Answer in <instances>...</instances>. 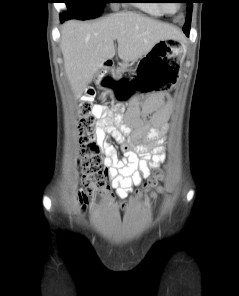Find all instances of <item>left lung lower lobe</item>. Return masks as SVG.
I'll return each mask as SVG.
<instances>
[{
	"instance_id": "obj_1",
	"label": "left lung lower lobe",
	"mask_w": 239,
	"mask_h": 296,
	"mask_svg": "<svg viewBox=\"0 0 239 296\" xmlns=\"http://www.w3.org/2000/svg\"><path fill=\"white\" fill-rule=\"evenodd\" d=\"M183 31H184V33H185L187 36H189L190 29L183 28Z\"/></svg>"
}]
</instances>
